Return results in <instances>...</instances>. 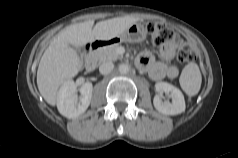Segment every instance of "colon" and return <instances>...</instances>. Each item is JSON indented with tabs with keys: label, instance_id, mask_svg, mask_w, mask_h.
<instances>
[{
	"label": "colon",
	"instance_id": "obj_1",
	"mask_svg": "<svg viewBox=\"0 0 238 158\" xmlns=\"http://www.w3.org/2000/svg\"><path fill=\"white\" fill-rule=\"evenodd\" d=\"M147 30L150 34L151 41L156 46H163L169 42L180 43L177 58L182 63L192 62L197 58L194 48L187 42L183 41L180 34L174 29L163 23H149Z\"/></svg>",
	"mask_w": 238,
	"mask_h": 158
}]
</instances>
